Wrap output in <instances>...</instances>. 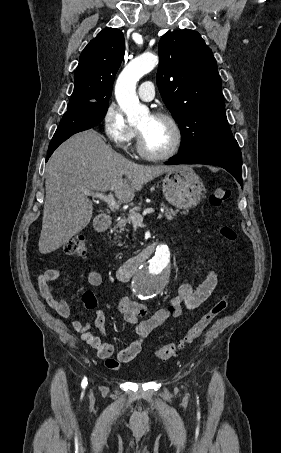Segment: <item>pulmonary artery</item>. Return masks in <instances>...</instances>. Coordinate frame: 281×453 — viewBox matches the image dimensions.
Returning <instances> with one entry per match:
<instances>
[{
    "mask_svg": "<svg viewBox=\"0 0 281 453\" xmlns=\"http://www.w3.org/2000/svg\"><path fill=\"white\" fill-rule=\"evenodd\" d=\"M151 86H153V83L151 81L143 82L138 88V91H137L138 97L144 101H151L154 98V93L144 91L145 89H147Z\"/></svg>",
    "mask_w": 281,
    "mask_h": 453,
    "instance_id": "e3ab8cb5",
    "label": "pulmonary artery"
}]
</instances>
